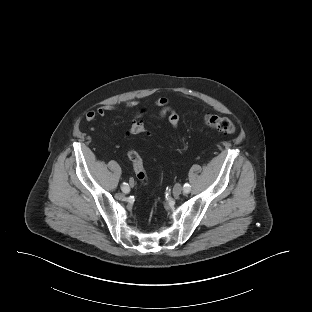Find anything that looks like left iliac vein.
Here are the masks:
<instances>
[{
  "mask_svg": "<svg viewBox=\"0 0 312 312\" xmlns=\"http://www.w3.org/2000/svg\"><path fill=\"white\" fill-rule=\"evenodd\" d=\"M182 187L180 184H176L173 188V194L174 196H179L182 193Z\"/></svg>",
  "mask_w": 312,
  "mask_h": 312,
  "instance_id": "4c4485c4",
  "label": "left iliac vein"
}]
</instances>
